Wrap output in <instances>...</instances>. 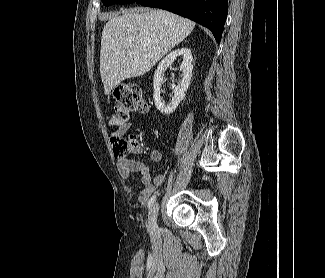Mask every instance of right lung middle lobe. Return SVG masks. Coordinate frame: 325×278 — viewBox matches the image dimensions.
I'll return each mask as SVG.
<instances>
[{
	"mask_svg": "<svg viewBox=\"0 0 325 278\" xmlns=\"http://www.w3.org/2000/svg\"><path fill=\"white\" fill-rule=\"evenodd\" d=\"M137 0H102L103 2V5L104 6H109L113 3H126V4H129V3H133Z\"/></svg>",
	"mask_w": 325,
	"mask_h": 278,
	"instance_id": "right-lung-middle-lobe-1",
	"label": "right lung middle lobe"
}]
</instances>
